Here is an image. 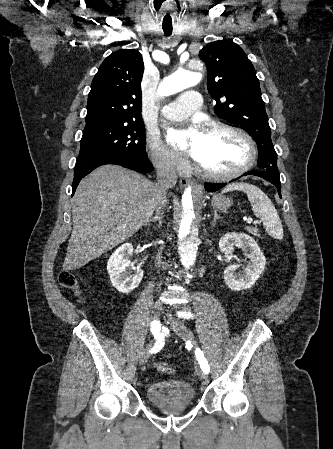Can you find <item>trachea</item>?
<instances>
[{"label":"trachea","instance_id":"trachea-1","mask_svg":"<svg viewBox=\"0 0 333 449\" xmlns=\"http://www.w3.org/2000/svg\"><path fill=\"white\" fill-rule=\"evenodd\" d=\"M163 31H164L166 36L171 35V33H172V26L171 27H163Z\"/></svg>","mask_w":333,"mask_h":449}]
</instances>
